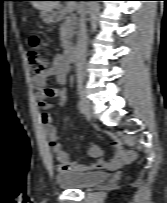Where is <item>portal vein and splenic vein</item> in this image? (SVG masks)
Masks as SVG:
<instances>
[{
	"label": "portal vein and splenic vein",
	"instance_id": "18ae733b",
	"mask_svg": "<svg viewBox=\"0 0 167 203\" xmlns=\"http://www.w3.org/2000/svg\"><path fill=\"white\" fill-rule=\"evenodd\" d=\"M74 9H75V7H74L73 4H68V5H67V10L73 11Z\"/></svg>",
	"mask_w": 167,
	"mask_h": 203
}]
</instances>
